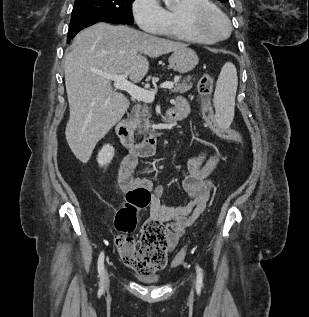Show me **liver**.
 Here are the masks:
<instances>
[{
    "label": "liver",
    "instance_id": "6515ba94",
    "mask_svg": "<svg viewBox=\"0 0 309 317\" xmlns=\"http://www.w3.org/2000/svg\"><path fill=\"white\" fill-rule=\"evenodd\" d=\"M128 26L97 23L82 30L65 56V85L70 108L66 140L73 154L87 163L97 144L123 117L129 100L99 75L124 74L139 83L149 70L146 58L185 48Z\"/></svg>",
    "mask_w": 309,
    "mask_h": 317
}]
</instances>
